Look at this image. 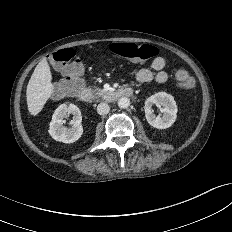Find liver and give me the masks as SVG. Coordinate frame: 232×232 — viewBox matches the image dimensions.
Here are the masks:
<instances>
[{
  "label": "liver",
  "mask_w": 232,
  "mask_h": 232,
  "mask_svg": "<svg viewBox=\"0 0 232 232\" xmlns=\"http://www.w3.org/2000/svg\"><path fill=\"white\" fill-rule=\"evenodd\" d=\"M52 75L46 58H43L29 80L26 90L28 110L36 116L53 93Z\"/></svg>",
  "instance_id": "obj_1"
}]
</instances>
